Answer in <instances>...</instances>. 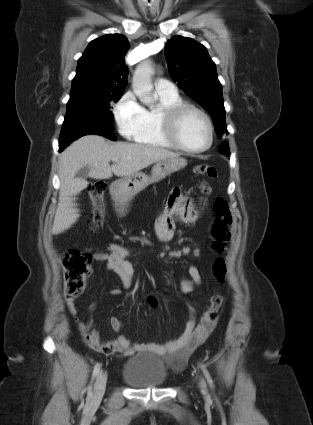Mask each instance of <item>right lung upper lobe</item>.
I'll return each mask as SVG.
<instances>
[{
  "label": "right lung upper lobe",
  "mask_w": 313,
  "mask_h": 425,
  "mask_svg": "<svg viewBox=\"0 0 313 425\" xmlns=\"http://www.w3.org/2000/svg\"><path fill=\"white\" fill-rule=\"evenodd\" d=\"M129 47L121 34H108L90 42L78 60L70 95L124 92L128 73L124 56Z\"/></svg>",
  "instance_id": "1"
}]
</instances>
